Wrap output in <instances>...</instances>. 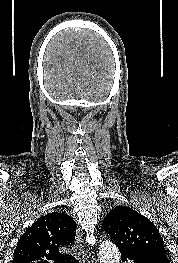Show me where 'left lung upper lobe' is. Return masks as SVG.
<instances>
[{
  "label": "left lung upper lobe",
  "mask_w": 178,
  "mask_h": 263,
  "mask_svg": "<svg viewBox=\"0 0 178 263\" xmlns=\"http://www.w3.org/2000/svg\"><path fill=\"white\" fill-rule=\"evenodd\" d=\"M102 230L119 249L167 257L164 241L156 226L129 207L118 206L110 210Z\"/></svg>",
  "instance_id": "1"
}]
</instances>
